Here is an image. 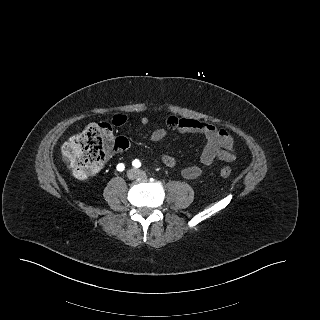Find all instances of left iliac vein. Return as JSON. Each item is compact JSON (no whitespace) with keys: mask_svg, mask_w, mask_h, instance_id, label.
<instances>
[{"mask_svg":"<svg viewBox=\"0 0 320 320\" xmlns=\"http://www.w3.org/2000/svg\"><path fill=\"white\" fill-rule=\"evenodd\" d=\"M136 173L139 177H144L146 175L145 171L143 170H136Z\"/></svg>","mask_w":320,"mask_h":320,"instance_id":"1","label":"left iliac vein"}]
</instances>
